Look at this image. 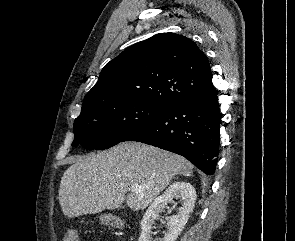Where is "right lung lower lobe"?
Here are the masks:
<instances>
[{
	"mask_svg": "<svg viewBox=\"0 0 295 241\" xmlns=\"http://www.w3.org/2000/svg\"><path fill=\"white\" fill-rule=\"evenodd\" d=\"M221 117L217 90L212 86L169 103L121 142L140 141L177 153L211 175L218 160Z\"/></svg>",
	"mask_w": 295,
	"mask_h": 241,
	"instance_id": "1",
	"label": "right lung lower lobe"
}]
</instances>
